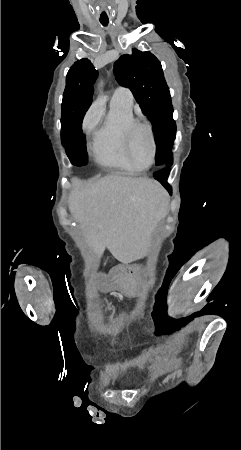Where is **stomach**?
<instances>
[{
	"instance_id": "obj_1",
	"label": "stomach",
	"mask_w": 241,
	"mask_h": 450,
	"mask_svg": "<svg viewBox=\"0 0 241 450\" xmlns=\"http://www.w3.org/2000/svg\"><path fill=\"white\" fill-rule=\"evenodd\" d=\"M138 266H118L111 276L112 283L118 289H132L142 282V277L138 274Z\"/></svg>"
}]
</instances>
